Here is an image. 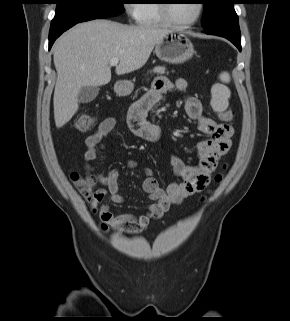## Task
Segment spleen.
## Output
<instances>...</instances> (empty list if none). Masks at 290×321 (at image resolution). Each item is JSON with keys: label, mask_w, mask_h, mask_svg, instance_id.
<instances>
[{"label": "spleen", "mask_w": 290, "mask_h": 321, "mask_svg": "<svg viewBox=\"0 0 290 321\" xmlns=\"http://www.w3.org/2000/svg\"><path fill=\"white\" fill-rule=\"evenodd\" d=\"M219 79L222 82L216 83L211 88V106L215 111L222 112L228 107V99L231 96L229 88L224 83H229L231 78L229 73L223 72L219 75Z\"/></svg>", "instance_id": "3e777b00"}]
</instances>
